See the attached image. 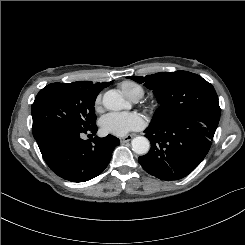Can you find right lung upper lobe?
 I'll return each instance as SVG.
<instances>
[{
	"label": "right lung upper lobe",
	"instance_id": "cb5924a9",
	"mask_svg": "<svg viewBox=\"0 0 245 245\" xmlns=\"http://www.w3.org/2000/svg\"><path fill=\"white\" fill-rule=\"evenodd\" d=\"M75 83H77L80 86L86 87L88 89L96 90L100 92L102 89L108 87L112 82H102V83L93 84V82L91 81H78Z\"/></svg>",
	"mask_w": 245,
	"mask_h": 245
}]
</instances>
